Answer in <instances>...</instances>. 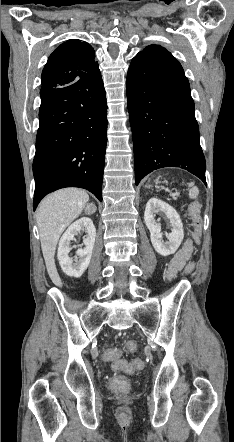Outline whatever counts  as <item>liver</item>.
Segmentation results:
<instances>
[{"mask_svg":"<svg viewBox=\"0 0 234 442\" xmlns=\"http://www.w3.org/2000/svg\"><path fill=\"white\" fill-rule=\"evenodd\" d=\"M88 201L89 196L84 190L65 188L45 197L37 209L42 253L47 272L56 286H62L54 260L58 240L65 228L82 213Z\"/></svg>","mask_w":234,"mask_h":442,"instance_id":"obj_1","label":"liver"}]
</instances>
